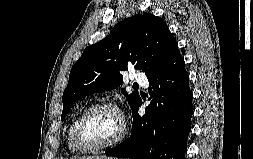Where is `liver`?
I'll return each instance as SVG.
<instances>
[{
	"label": "liver",
	"mask_w": 253,
	"mask_h": 159,
	"mask_svg": "<svg viewBox=\"0 0 253 159\" xmlns=\"http://www.w3.org/2000/svg\"><path fill=\"white\" fill-rule=\"evenodd\" d=\"M103 158H111V157H106V156H84L80 157L79 159H103Z\"/></svg>",
	"instance_id": "1"
}]
</instances>
